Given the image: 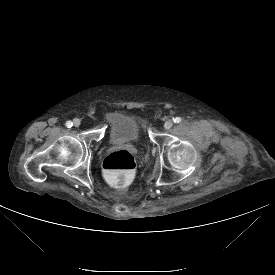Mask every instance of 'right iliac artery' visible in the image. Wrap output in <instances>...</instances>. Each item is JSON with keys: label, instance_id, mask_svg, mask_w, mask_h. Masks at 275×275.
Here are the masks:
<instances>
[{"label": "right iliac artery", "instance_id": "1", "mask_svg": "<svg viewBox=\"0 0 275 275\" xmlns=\"http://www.w3.org/2000/svg\"><path fill=\"white\" fill-rule=\"evenodd\" d=\"M66 126H67L68 128H70V127L73 126V123H72L71 121H67V122H66Z\"/></svg>", "mask_w": 275, "mask_h": 275}]
</instances>
